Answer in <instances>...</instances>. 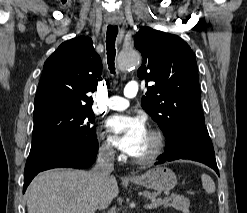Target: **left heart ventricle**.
I'll return each instance as SVG.
<instances>
[{
    "label": "left heart ventricle",
    "instance_id": "1",
    "mask_svg": "<svg viewBox=\"0 0 247 213\" xmlns=\"http://www.w3.org/2000/svg\"><path fill=\"white\" fill-rule=\"evenodd\" d=\"M154 146V139L153 137L148 133L145 141L143 143L142 148L140 151L135 155V157H145L147 156L153 149Z\"/></svg>",
    "mask_w": 247,
    "mask_h": 213
}]
</instances>
